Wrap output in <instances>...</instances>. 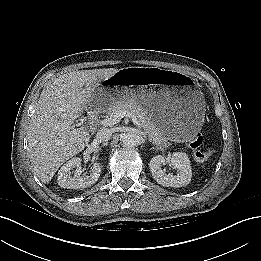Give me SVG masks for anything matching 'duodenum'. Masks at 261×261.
I'll return each mask as SVG.
<instances>
[{"label":"duodenum","instance_id":"obj_1","mask_svg":"<svg viewBox=\"0 0 261 261\" xmlns=\"http://www.w3.org/2000/svg\"><path fill=\"white\" fill-rule=\"evenodd\" d=\"M90 117L92 120H95V115L93 113L90 115Z\"/></svg>","mask_w":261,"mask_h":261}]
</instances>
